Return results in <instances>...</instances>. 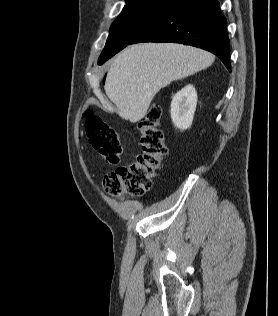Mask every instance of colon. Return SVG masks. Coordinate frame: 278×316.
Wrapping results in <instances>:
<instances>
[{"mask_svg":"<svg viewBox=\"0 0 278 316\" xmlns=\"http://www.w3.org/2000/svg\"><path fill=\"white\" fill-rule=\"evenodd\" d=\"M162 110L151 105L137 124L143 153L131 163L118 166L103 179L104 191L115 197L142 196L153 184L162 160L167 154L164 135L159 125ZM85 120V135L91 145L110 165H118L123 153L119 133L100 116L89 110Z\"/></svg>","mask_w":278,"mask_h":316,"instance_id":"colon-1","label":"colon"}]
</instances>
